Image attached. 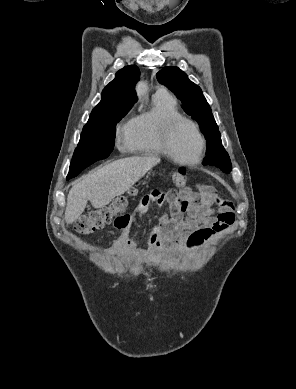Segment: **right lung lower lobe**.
<instances>
[{
    "instance_id": "right-lung-lower-lobe-1",
    "label": "right lung lower lobe",
    "mask_w": 296,
    "mask_h": 389,
    "mask_svg": "<svg viewBox=\"0 0 296 389\" xmlns=\"http://www.w3.org/2000/svg\"><path fill=\"white\" fill-rule=\"evenodd\" d=\"M84 168H86V167H81L79 169L69 171V174L67 176V180L77 176Z\"/></svg>"
}]
</instances>
